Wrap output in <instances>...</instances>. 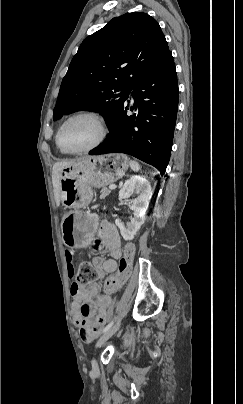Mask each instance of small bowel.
I'll list each match as a JSON object with an SVG mask.
<instances>
[{"label": "small bowel", "instance_id": "small-bowel-1", "mask_svg": "<svg viewBox=\"0 0 243 404\" xmlns=\"http://www.w3.org/2000/svg\"><path fill=\"white\" fill-rule=\"evenodd\" d=\"M106 248L109 257L102 260L93 259V264L100 276L112 273L117 268V260L122 256V246L119 233L115 225L103 222L97 238L95 249ZM72 254L67 251L68 271L73 275V266L70 263ZM71 312L76 326L80 328V336L84 342L92 341L102 330L108 319V308L111 303L110 295H100L99 285L92 284L85 287L73 281L71 283Z\"/></svg>", "mask_w": 243, "mask_h": 404}]
</instances>
